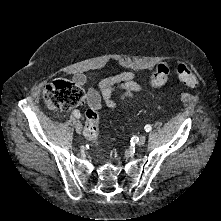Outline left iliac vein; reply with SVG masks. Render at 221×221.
I'll use <instances>...</instances> for the list:
<instances>
[{
  "label": "left iliac vein",
  "mask_w": 221,
  "mask_h": 221,
  "mask_svg": "<svg viewBox=\"0 0 221 221\" xmlns=\"http://www.w3.org/2000/svg\"><path fill=\"white\" fill-rule=\"evenodd\" d=\"M146 141V137L144 135L140 136L139 140H138V145H143Z\"/></svg>",
  "instance_id": "1"
}]
</instances>
